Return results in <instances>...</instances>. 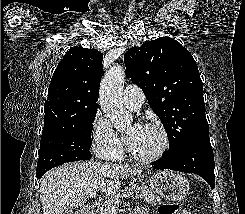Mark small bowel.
Here are the masks:
<instances>
[{
  "label": "small bowel",
  "mask_w": 245,
  "mask_h": 214,
  "mask_svg": "<svg viewBox=\"0 0 245 214\" xmlns=\"http://www.w3.org/2000/svg\"><path fill=\"white\" fill-rule=\"evenodd\" d=\"M133 214H147V212L142 208H137Z\"/></svg>",
  "instance_id": "1"
}]
</instances>
